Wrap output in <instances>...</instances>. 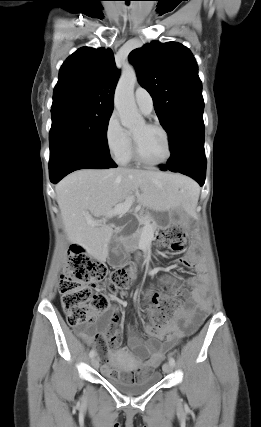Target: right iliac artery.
<instances>
[{
    "label": "right iliac artery",
    "instance_id": "obj_1",
    "mask_svg": "<svg viewBox=\"0 0 261 427\" xmlns=\"http://www.w3.org/2000/svg\"><path fill=\"white\" fill-rule=\"evenodd\" d=\"M95 354H96L95 350H91L89 353V356L92 358L95 356Z\"/></svg>",
    "mask_w": 261,
    "mask_h": 427
}]
</instances>
